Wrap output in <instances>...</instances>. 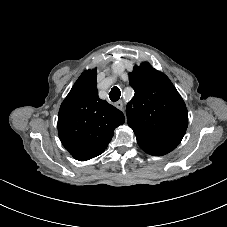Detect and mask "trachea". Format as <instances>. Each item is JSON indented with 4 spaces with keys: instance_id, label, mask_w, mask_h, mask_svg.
I'll return each mask as SVG.
<instances>
[{
    "instance_id": "trachea-1",
    "label": "trachea",
    "mask_w": 227,
    "mask_h": 227,
    "mask_svg": "<svg viewBox=\"0 0 227 227\" xmlns=\"http://www.w3.org/2000/svg\"><path fill=\"white\" fill-rule=\"evenodd\" d=\"M121 96V91L118 87H113L109 93V98L111 101L115 102L117 100H119Z\"/></svg>"
}]
</instances>
